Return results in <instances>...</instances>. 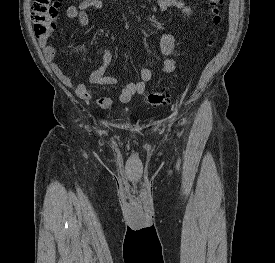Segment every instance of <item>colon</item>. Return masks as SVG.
<instances>
[{
    "mask_svg": "<svg viewBox=\"0 0 275 263\" xmlns=\"http://www.w3.org/2000/svg\"><path fill=\"white\" fill-rule=\"evenodd\" d=\"M224 0H208V21L212 34L214 29L223 20ZM60 2L58 0H34L32 6V24L34 35L40 39L55 29V18L57 16ZM209 45H212L210 43ZM170 93L165 90H156L145 96V101L151 106L167 104L170 101Z\"/></svg>",
    "mask_w": 275,
    "mask_h": 263,
    "instance_id": "1",
    "label": "colon"
}]
</instances>
